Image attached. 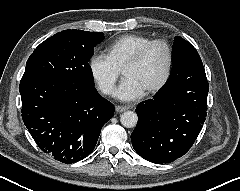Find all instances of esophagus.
<instances>
[{"label":"esophagus","mask_w":240,"mask_h":191,"mask_svg":"<svg viewBox=\"0 0 240 191\" xmlns=\"http://www.w3.org/2000/svg\"><path fill=\"white\" fill-rule=\"evenodd\" d=\"M115 110H116L117 113H122V112L127 110V107H125V106H116Z\"/></svg>","instance_id":"1"}]
</instances>
